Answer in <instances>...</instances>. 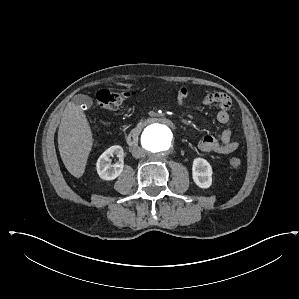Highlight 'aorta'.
<instances>
[{
  "mask_svg": "<svg viewBox=\"0 0 299 299\" xmlns=\"http://www.w3.org/2000/svg\"><path fill=\"white\" fill-rule=\"evenodd\" d=\"M141 142L147 154L160 155L171 149L173 133L166 125L152 124L144 130Z\"/></svg>",
  "mask_w": 299,
  "mask_h": 299,
  "instance_id": "762f6f07",
  "label": "aorta"
}]
</instances>
